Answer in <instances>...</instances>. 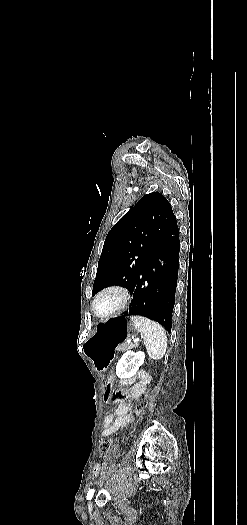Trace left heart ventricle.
I'll return each instance as SVG.
<instances>
[{"label":"left heart ventricle","instance_id":"b2bd125f","mask_svg":"<svg viewBox=\"0 0 247 525\" xmlns=\"http://www.w3.org/2000/svg\"><path fill=\"white\" fill-rule=\"evenodd\" d=\"M120 299V294L115 292H106L98 298L96 302V308L99 312H103L107 309L116 306L119 303Z\"/></svg>","mask_w":247,"mask_h":525}]
</instances>
